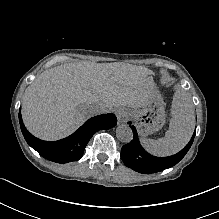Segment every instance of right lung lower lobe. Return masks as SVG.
Segmentation results:
<instances>
[{
	"label": "right lung lower lobe",
	"mask_w": 219,
	"mask_h": 219,
	"mask_svg": "<svg viewBox=\"0 0 219 219\" xmlns=\"http://www.w3.org/2000/svg\"><path fill=\"white\" fill-rule=\"evenodd\" d=\"M19 122L25 140L42 157L56 163H67L80 159L86 144L94 133L101 129L114 127L117 123V118L112 113L93 117L72 135L53 142L40 140L30 134L23 124L20 112Z\"/></svg>",
	"instance_id": "right-lung-lower-lobe-1"
}]
</instances>
